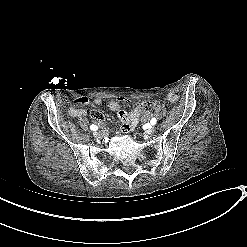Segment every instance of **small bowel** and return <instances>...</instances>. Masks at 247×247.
Here are the masks:
<instances>
[{
    "mask_svg": "<svg viewBox=\"0 0 247 247\" xmlns=\"http://www.w3.org/2000/svg\"><path fill=\"white\" fill-rule=\"evenodd\" d=\"M178 94L175 92L169 93L167 95V100L171 103H175L178 101ZM125 98L119 97L116 100L109 101L107 103V107L114 111L117 115L118 120L120 121V132L121 134H127L131 131H133L136 126L138 125L139 121L142 120L144 122H147L151 120L153 117H160L163 114V109L161 107H158L156 112L153 113H145L141 115V110L139 107L134 108L132 111L127 112L121 107L120 102L124 101ZM90 102V99L86 96L78 97L75 100V104L69 108V114L73 117H87L90 116L93 119H95L96 122L101 123L104 121L105 116L103 113L98 111H91L86 109L79 108L80 106L87 105ZM92 104L96 106L102 105L101 98H94L92 99Z\"/></svg>",
    "mask_w": 247,
    "mask_h": 247,
    "instance_id": "1",
    "label": "small bowel"
}]
</instances>
